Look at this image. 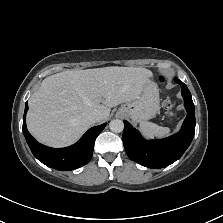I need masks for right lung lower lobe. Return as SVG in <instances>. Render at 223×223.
Listing matches in <instances>:
<instances>
[{"instance_id":"obj_1","label":"right lung lower lobe","mask_w":223,"mask_h":223,"mask_svg":"<svg viewBox=\"0 0 223 223\" xmlns=\"http://www.w3.org/2000/svg\"><path fill=\"white\" fill-rule=\"evenodd\" d=\"M27 110L28 103L26 102L23 117V134L33 155L40 162L56 170L69 171L77 169L91 160L95 139L104 129L106 123L89 129L76 144L70 147L50 148L37 142L28 132L26 127Z\"/></svg>"}]
</instances>
